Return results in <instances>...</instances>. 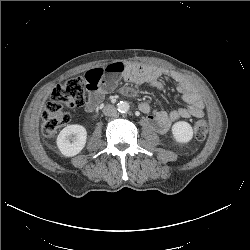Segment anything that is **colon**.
<instances>
[{"label": "colon", "mask_w": 250, "mask_h": 250, "mask_svg": "<svg viewBox=\"0 0 250 250\" xmlns=\"http://www.w3.org/2000/svg\"><path fill=\"white\" fill-rule=\"evenodd\" d=\"M87 82L85 78L75 77L57 85L42 113V131L52 136L58 128L70 121L71 112L86 102ZM193 132L198 140H204L208 134L205 120H197L193 124Z\"/></svg>", "instance_id": "1"}]
</instances>
